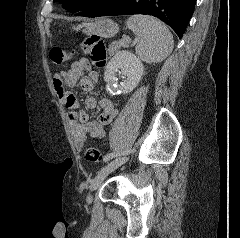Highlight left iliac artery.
Instances as JSON below:
<instances>
[{"instance_id":"1","label":"left iliac artery","mask_w":240,"mask_h":238,"mask_svg":"<svg viewBox=\"0 0 240 238\" xmlns=\"http://www.w3.org/2000/svg\"><path fill=\"white\" fill-rule=\"evenodd\" d=\"M133 141L134 142L131 143V146L135 147L136 146V143H135L136 140L134 139ZM117 156H121V153H109L104 157V161L110 160V159H112L114 157H117Z\"/></svg>"}]
</instances>
